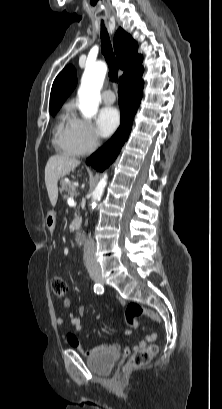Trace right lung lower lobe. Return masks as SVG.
<instances>
[{"instance_id":"1","label":"right lung lower lobe","mask_w":222,"mask_h":409,"mask_svg":"<svg viewBox=\"0 0 222 409\" xmlns=\"http://www.w3.org/2000/svg\"><path fill=\"white\" fill-rule=\"evenodd\" d=\"M142 74L119 83V105L121 109V124L112 138L97 150L87 164L96 167L98 171L107 168L118 156L121 147L128 139L133 117L138 109L143 95Z\"/></svg>"}]
</instances>
